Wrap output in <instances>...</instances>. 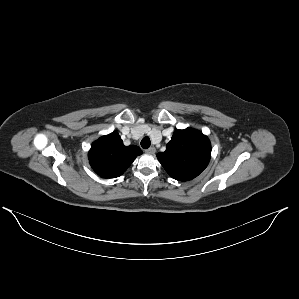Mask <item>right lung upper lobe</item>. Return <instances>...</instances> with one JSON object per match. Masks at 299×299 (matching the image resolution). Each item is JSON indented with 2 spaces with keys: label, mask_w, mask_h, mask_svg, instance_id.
I'll return each mask as SVG.
<instances>
[{
  "label": "right lung upper lobe",
  "mask_w": 299,
  "mask_h": 299,
  "mask_svg": "<svg viewBox=\"0 0 299 299\" xmlns=\"http://www.w3.org/2000/svg\"><path fill=\"white\" fill-rule=\"evenodd\" d=\"M141 154L142 150L138 146H125L119 134L112 132L92 144L88 158L99 176L115 178L122 175Z\"/></svg>",
  "instance_id": "obj_1"
}]
</instances>
